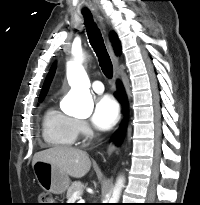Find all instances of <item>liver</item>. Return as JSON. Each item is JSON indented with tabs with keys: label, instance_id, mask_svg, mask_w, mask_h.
Wrapping results in <instances>:
<instances>
[{
	"label": "liver",
	"instance_id": "liver-1",
	"mask_svg": "<svg viewBox=\"0 0 200 205\" xmlns=\"http://www.w3.org/2000/svg\"><path fill=\"white\" fill-rule=\"evenodd\" d=\"M38 161L48 162L74 178H82L91 167L89 155L82 150L56 146L34 154L32 166Z\"/></svg>",
	"mask_w": 200,
	"mask_h": 205
}]
</instances>
